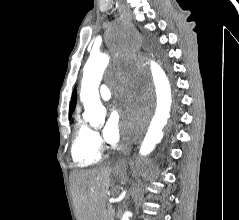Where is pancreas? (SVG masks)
Wrapping results in <instances>:
<instances>
[{"mask_svg": "<svg viewBox=\"0 0 239 220\" xmlns=\"http://www.w3.org/2000/svg\"><path fill=\"white\" fill-rule=\"evenodd\" d=\"M102 220H114V213L112 212V206L107 205L102 214Z\"/></svg>", "mask_w": 239, "mask_h": 220, "instance_id": "pancreas-1", "label": "pancreas"}]
</instances>
